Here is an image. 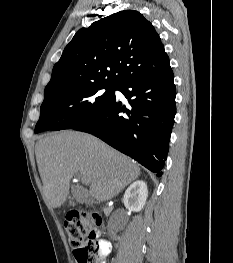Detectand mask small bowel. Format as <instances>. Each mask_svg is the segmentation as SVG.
<instances>
[{"label": "small bowel", "mask_w": 233, "mask_h": 263, "mask_svg": "<svg viewBox=\"0 0 233 263\" xmlns=\"http://www.w3.org/2000/svg\"><path fill=\"white\" fill-rule=\"evenodd\" d=\"M101 245H102V250H101V255H102V260L101 263H107L105 258L111 253L112 246L111 243L107 240H101Z\"/></svg>", "instance_id": "small-bowel-1"}]
</instances>
